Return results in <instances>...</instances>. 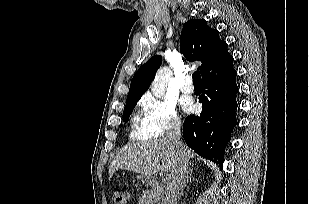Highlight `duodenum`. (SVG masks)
<instances>
[{
  "label": "duodenum",
  "mask_w": 309,
  "mask_h": 204,
  "mask_svg": "<svg viewBox=\"0 0 309 204\" xmlns=\"http://www.w3.org/2000/svg\"><path fill=\"white\" fill-rule=\"evenodd\" d=\"M150 183H151L152 185H155V184H156V182H155L154 180H151Z\"/></svg>",
  "instance_id": "410a0bca"
}]
</instances>
